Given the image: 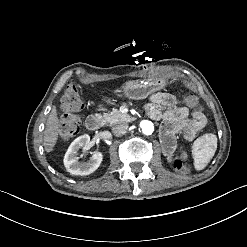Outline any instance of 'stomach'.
Instances as JSON below:
<instances>
[{"label":"stomach","mask_w":247,"mask_h":247,"mask_svg":"<svg viewBox=\"0 0 247 247\" xmlns=\"http://www.w3.org/2000/svg\"><path fill=\"white\" fill-rule=\"evenodd\" d=\"M165 86L163 79L153 81L132 80L123 84L122 89L126 97L134 100L145 99L148 95L156 92Z\"/></svg>","instance_id":"1"}]
</instances>
